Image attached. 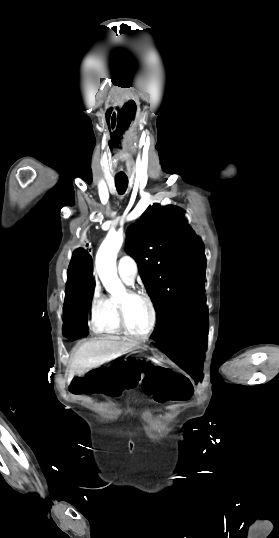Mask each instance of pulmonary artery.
Segmentation results:
<instances>
[{
    "label": "pulmonary artery",
    "mask_w": 279,
    "mask_h": 538,
    "mask_svg": "<svg viewBox=\"0 0 279 538\" xmlns=\"http://www.w3.org/2000/svg\"><path fill=\"white\" fill-rule=\"evenodd\" d=\"M117 271L119 275L130 284L134 281L137 274V266L132 258L129 256H122L117 261Z\"/></svg>",
    "instance_id": "e3ab8cb5"
}]
</instances>
